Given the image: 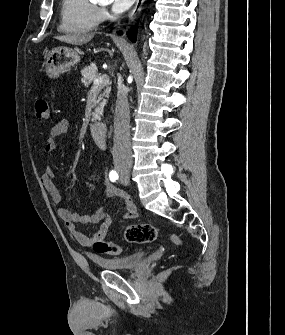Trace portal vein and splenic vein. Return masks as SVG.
<instances>
[{"instance_id":"1","label":"portal vein and splenic vein","mask_w":285,"mask_h":335,"mask_svg":"<svg viewBox=\"0 0 285 335\" xmlns=\"http://www.w3.org/2000/svg\"><path fill=\"white\" fill-rule=\"evenodd\" d=\"M109 78L106 76H101V78H94V84H108Z\"/></svg>"}]
</instances>
